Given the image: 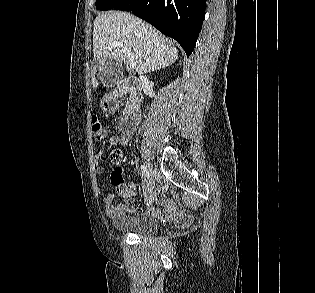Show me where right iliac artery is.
I'll return each mask as SVG.
<instances>
[{
    "label": "right iliac artery",
    "mask_w": 315,
    "mask_h": 293,
    "mask_svg": "<svg viewBox=\"0 0 315 293\" xmlns=\"http://www.w3.org/2000/svg\"><path fill=\"white\" fill-rule=\"evenodd\" d=\"M141 171H142L143 175H145L148 178L150 177V173H149L148 169L146 168V166L141 165Z\"/></svg>",
    "instance_id": "right-iliac-artery-1"
}]
</instances>
